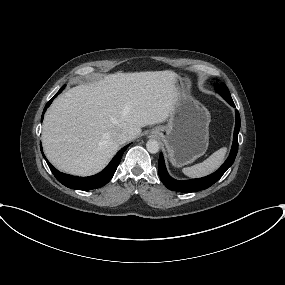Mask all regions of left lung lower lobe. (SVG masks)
Returning <instances> with one entry per match:
<instances>
[{
    "label": "left lung lower lobe",
    "mask_w": 285,
    "mask_h": 285,
    "mask_svg": "<svg viewBox=\"0 0 285 285\" xmlns=\"http://www.w3.org/2000/svg\"><path fill=\"white\" fill-rule=\"evenodd\" d=\"M226 101L231 106L235 107V104L232 99H227ZM235 114H236V125H235V130H234V142L232 145L230 155L227 158V160L224 162V164L213 174L208 175L203 178L186 180V181L175 180L171 178L170 175L168 174L166 167H165L163 155L162 153L160 154L159 162H158V172H159V176L163 184L168 189L177 191V192H186V193L196 192V191L207 189L208 187L212 186L222 177V175L226 172V170L233 164L236 158V155H237V151H238V133L240 130V115L237 110Z\"/></svg>",
    "instance_id": "0a47b994"
}]
</instances>
